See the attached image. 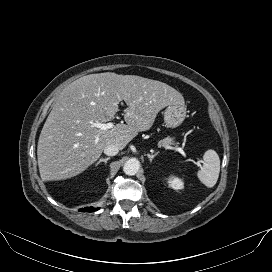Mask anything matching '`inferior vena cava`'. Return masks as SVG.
Returning a JSON list of instances; mask_svg holds the SVG:
<instances>
[{"label": "inferior vena cava", "mask_w": 272, "mask_h": 272, "mask_svg": "<svg viewBox=\"0 0 272 272\" xmlns=\"http://www.w3.org/2000/svg\"><path fill=\"white\" fill-rule=\"evenodd\" d=\"M119 152V148L117 145L115 144H108L105 148H104V153L108 156H115L117 155Z\"/></svg>", "instance_id": "1"}]
</instances>
